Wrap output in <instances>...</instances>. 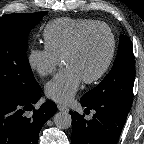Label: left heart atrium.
Listing matches in <instances>:
<instances>
[{"instance_id": "obj_1", "label": "left heart atrium", "mask_w": 144, "mask_h": 144, "mask_svg": "<svg viewBox=\"0 0 144 144\" xmlns=\"http://www.w3.org/2000/svg\"><path fill=\"white\" fill-rule=\"evenodd\" d=\"M83 81L80 73L71 66H66L46 84V95L59 103H68L78 91Z\"/></svg>"}]
</instances>
